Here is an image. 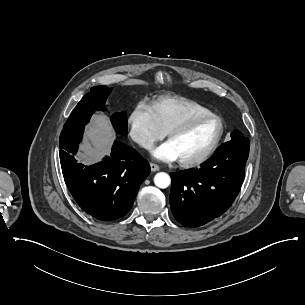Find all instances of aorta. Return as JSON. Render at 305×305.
Segmentation results:
<instances>
[{"instance_id":"obj_1","label":"aorta","mask_w":305,"mask_h":305,"mask_svg":"<svg viewBox=\"0 0 305 305\" xmlns=\"http://www.w3.org/2000/svg\"><path fill=\"white\" fill-rule=\"evenodd\" d=\"M154 183L157 187L165 189L171 183L170 176L165 172H159L154 177Z\"/></svg>"}]
</instances>
